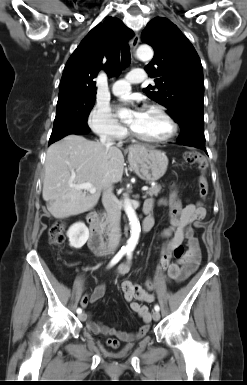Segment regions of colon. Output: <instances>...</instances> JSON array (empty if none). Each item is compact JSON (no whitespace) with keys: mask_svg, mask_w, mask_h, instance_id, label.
<instances>
[{"mask_svg":"<svg viewBox=\"0 0 247 385\" xmlns=\"http://www.w3.org/2000/svg\"><path fill=\"white\" fill-rule=\"evenodd\" d=\"M184 159L188 164H198L200 175H199V195L202 199H205L208 194V180L206 175L207 161L204 155L198 152H186ZM66 228V223L64 220L56 221L50 229L49 238L50 242L54 245H60L64 242V230ZM184 255V249L182 246H178L173 251V256L176 259L182 258ZM171 256H166L164 260L160 263L159 269L164 272L168 269L170 264ZM123 291L133 292L135 295H138V290L131 284H126L123 287Z\"/></svg>","mask_w":247,"mask_h":385,"instance_id":"1","label":"colon"}]
</instances>
